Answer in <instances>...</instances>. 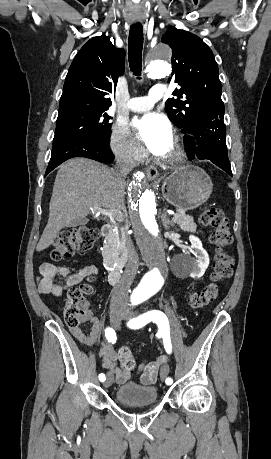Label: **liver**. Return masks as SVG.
I'll use <instances>...</instances> for the list:
<instances>
[{
    "instance_id": "6515ba94",
    "label": "liver",
    "mask_w": 271,
    "mask_h": 459,
    "mask_svg": "<svg viewBox=\"0 0 271 459\" xmlns=\"http://www.w3.org/2000/svg\"><path fill=\"white\" fill-rule=\"evenodd\" d=\"M125 180L104 164L72 158L60 166L49 204V218L37 245L46 249L60 229L72 220L86 218L91 208L124 210Z\"/></svg>"
}]
</instances>
